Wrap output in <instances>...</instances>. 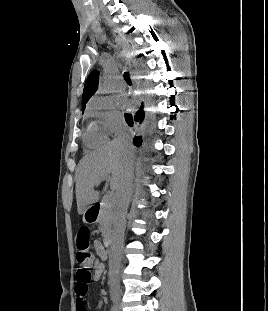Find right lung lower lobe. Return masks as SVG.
<instances>
[{
    "mask_svg": "<svg viewBox=\"0 0 268 311\" xmlns=\"http://www.w3.org/2000/svg\"><path fill=\"white\" fill-rule=\"evenodd\" d=\"M143 108L144 107H143V103H142L140 106V109L135 114L125 113V115H124L125 120L130 127H133L134 123H137V122H139V124H142V122L144 121V118H145V112H144ZM147 127H148V123L146 122L143 128L146 129ZM133 144L135 146L139 147L142 144V136L134 137Z\"/></svg>",
    "mask_w": 268,
    "mask_h": 311,
    "instance_id": "98d812e1",
    "label": "right lung lower lobe"
}]
</instances>
